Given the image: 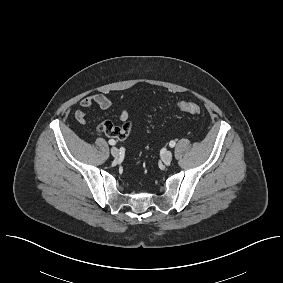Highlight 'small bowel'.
Returning <instances> with one entry per match:
<instances>
[{
  "mask_svg": "<svg viewBox=\"0 0 283 283\" xmlns=\"http://www.w3.org/2000/svg\"><path fill=\"white\" fill-rule=\"evenodd\" d=\"M80 106L82 107V110L76 111L75 118L80 124L85 125L87 123V115L85 110H88L93 106H97L102 110H111L112 102L104 94L94 93L83 97L80 100ZM113 112L115 113L117 119L123 122V125L118 127L119 134L116 138L119 140H124L130 135L132 129V124L128 121L129 118L128 111L126 109H121V110L113 109Z\"/></svg>",
  "mask_w": 283,
  "mask_h": 283,
  "instance_id": "obj_1",
  "label": "small bowel"
}]
</instances>
